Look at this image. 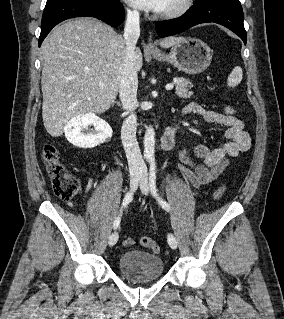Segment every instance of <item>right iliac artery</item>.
Here are the masks:
<instances>
[{
    "label": "right iliac artery",
    "instance_id": "right-iliac-artery-1",
    "mask_svg": "<svg viewBox=\"0 0 284 319\" xmlns=\"http://www.w3.org/2000/svg\"><path fill=\"white\" fill-rule=\"evenodd\" d=\"M133 199V192L132 191H129L124 199H123V202H122V206H121V209H120V214L118 215V217L114 220L113 222V228L114 229H117L119 224H120V221H121V212L123 211L124 208L127 207V205L132 201Z\"/></svg>",
    "mask_w": 284,
    "mask_h": 319
}]
</instances>
